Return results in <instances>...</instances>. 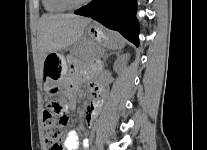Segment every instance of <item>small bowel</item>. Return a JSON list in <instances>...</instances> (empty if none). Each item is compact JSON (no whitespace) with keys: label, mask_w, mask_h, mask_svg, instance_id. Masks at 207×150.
I'll list each match as a JSON object with an SVG mask.
<instances>
[{"label":"small bowel","mask_w":207,"mask_h":150,"mask_svg":"<svg viewBox=\"0 0 207 150\" xmlns=\"http://www.w3.org/2000/svg\"><path fill=\"white\" fill-rule=\"evenodd\" d=\"M81 77H73L69 80L68 87L69 91L66 96L67 106L70 109L76 107V94L79 90ZM91 93L93 100L89 103L87 107V113L85 121L87 125H91L94 121L98 110L101 107V98L103 96V88L97 84H91ZM64 148L65 150H77L79 147V138L77 133L74 130H69L64 139ZM92 140H82V150H91Z\"/></svg>","instance_id":"c3829d8e"}]
</instances>
